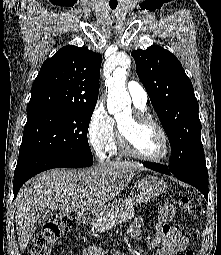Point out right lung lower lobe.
I'll return each instance as SVG.
<instances>
[{"label":"right lung lower lobe","instance_id":"98d812e1","mask_svg":"<svg viewBox=\"0 0 221 255\" xmlns=\"http://www.w3.org/2000/svg\"><path fill=\"white\" fill-rule=\"evenodd\" d=\"M93 161L57 154L25 151L19 154L14 173L13 193L16 197L21 186L34 175L52 168H81L91 166Z\"/></svg>","mask_w":221,"mask_h":255}]
</instances>
